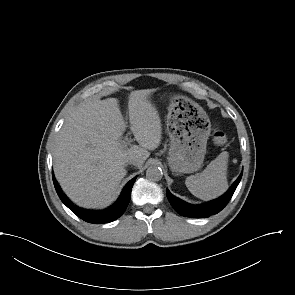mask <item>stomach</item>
<instances>
[{
	"label": "stomach",
	"instance_id": "obj_1",
	"mask_svg": "<svg viewBox=\"0 0 295 295\" xmlns=\"http://www.w3.org/2000/svg\"><path fill=\"white\" fill-rule=\"evenodd\" d=\"M169 101L168 165L174 173H193L204 161L211 123L204 109L188 97L174 95Z\"/></svg>",
	"mask_w": 295,
	"mask_h": 295
}]
</instances>
